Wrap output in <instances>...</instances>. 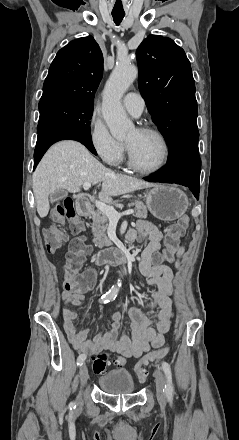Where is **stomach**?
Returning a JSON list of instances; mask_svg holds the SVG:
<instances>
[{
  "instance_id": "0dacf381",
  "label": "stomach",
  "mask_w": 239,
  "mask_h": 440,
  "mask_svg": "<svg viewBox=\"0 0 239 440\" xmlns=\"http://www.w3.org/2000/svg\"><path fill=\"white\" fill-rule=\"evenodd\" d=\"M146 206L158 220L172 222L185 214L189 200L176 186H154L147 194Z\"/></svg>"
}]
</instances>
